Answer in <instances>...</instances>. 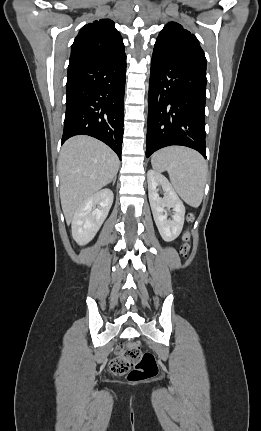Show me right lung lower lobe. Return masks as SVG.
<instances>
[{
	"mask_svg": "<svg viewBox=\"0 0 261 431\" xmlns=\"http://www.w3.org/2000/svg\"><path fill=\"white\" fill-rule=\"evenodd\" d=\"M126 55L70 60L62 144L85 134L110 146L121 159Z\"/></svg>",
	"mask_w": 261,
	"mask_h": 431,
	"instance_id": "98d812e1",
	"label": "right lung lower lobe"
}]
</instances>
